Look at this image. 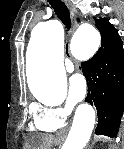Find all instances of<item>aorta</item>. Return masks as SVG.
<instances>
[{
    "mask_svg": "<svg viewBox=\"0 0 124 149\" xmlns=\"http://www.w3.org/2000/svg\"><path fill=\"white\" fill-rule=\"evenodd\" d=\"M99 31L91 24H81L71 40V50L91 55L100 46ZM29 88L41 102L61 101L67 91L63 66V28L59 21L50 20L35 26L29 46ZM95 124V111L89 104L80 105L63 149H84Z\"/></svg>",
    "mask_w": 124,
    "mask_h": 149,
    "instance_id": "aorta-1",
    "label": "aorta"
}]
</instances>
